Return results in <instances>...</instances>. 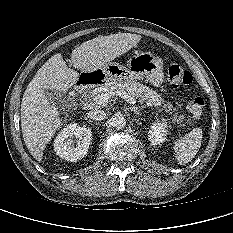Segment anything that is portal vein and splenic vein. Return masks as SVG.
I'll return each mask as SVG.
<instances>
[{
	"mask_svg": "<svg viewBox=\"0 0 233 233\" xmlns=\"http://www.w3.org/2000/svg\"><path fill=\"white\" fill-rule=\"evenodd\" d=\"M115 95L122 97L130 104L136 103V100L131 95H128L126 92L120 91V90H112L109 92L98 94L94 98V103L97 105H104V104L108 103L109 99Z\"/></svg>",
	"mask_w": 233,
	"mask_h": 233,
	"instance_id": "18ae733b",
	"label": "portal vein and splenic vein"
}]
</instances>
